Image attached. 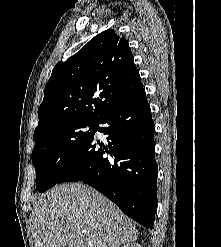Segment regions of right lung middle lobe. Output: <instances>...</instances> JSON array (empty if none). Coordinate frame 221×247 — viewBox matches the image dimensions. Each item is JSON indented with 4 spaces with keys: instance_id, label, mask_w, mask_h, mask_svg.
Instances as JSON below:
<instances>
[{
    "instance_id": "1",
    "label": "right lung middle lobe",
    "mask_w": 221,
    "mask_h": 247,
    "mask_svg": "<svg viewBox=\"0 0 221 247\" xmlns=\"http://www.w3.org/2000/svg\"><path fill=\"white\" fill-rule=\"evenodd\" d=\"M95 129V122H68L34 137L32 162L38 192L42 193L57 184L94 136Z\"/></svg>"
}]
</instances>
